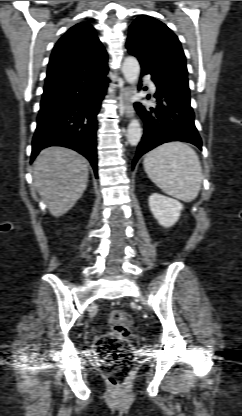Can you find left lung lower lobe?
<instances>
[{
    "label": "left lung lower lobe",
    "mask_w": 242,
    "mask_h": 416,
    "mask_svg": "<svg viewBox=\"0 0 242 416\" xmlns=\"http://www.w3.org/2000/svg\"><path fill=\"white\" fill-rule=\"evenodd\" d=\"M141 67L142 76L151 74L144 65L141 64ZM151 76L157 87L154 96L156 106L148 108L138 102L134 105L141 115L145 127L132 162L133 167L143 154L166 142L183 141L202 149V141L194 125V112L190 106V96L162 85L157 77L152 74Z\"/></svg>",
    "instance_id": "1"
}]
</instances>
